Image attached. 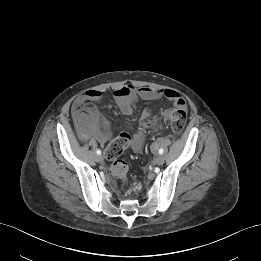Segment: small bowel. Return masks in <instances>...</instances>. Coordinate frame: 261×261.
<instances>
[{"instance_id":"c3829d8e","label":"small bowel","mask_w":261,"mask_h":261,"mask_svg":"<svg viewBox=\"0 0 261 261\" xmlns=\"http://www.w3.org/2000/svg\"><path fill=\"white\" fill-rule=\"evenodd\" d=\"M102 98V92L98 90H90L85 97L77 102V105L85 104L86 101H99ZM167 98L172 101L176 108L185 109L186 102L183 97L172 89H155L149 87H134L132 85H124L114 91V99L125 115H130L134 112L135 105L139 100H158ZM149 111L143 112V118L148 115ZM81 134L86 139H95L98 142L105 144L111 140L110 125L107 118L98 109H89L81 120ZM145 139L144 132L133 134L131 147L135 151L141 150Z\"/></svg>"}]
</instances>
